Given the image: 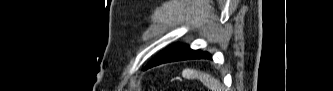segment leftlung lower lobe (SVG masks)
Instances as JSON below:
<instances>
[{
    "mask_svg": "<svg viewBox=\"0 0 333 91\" xmlns=\"http://www.w3.org/2000/svg\"><path fill=\"white\" fill-rule=\"evenodd\" d=\"M201 58H210V54L199 50H192L189 47L176 43L157 54V56L147 64L144 70L166 62Z\"/></svg>",
    "mask_w": 333,
    "mask_h": 91,
    "instance_id": "1",
    "label": "left lung lower lobe"
}]
</instances>
